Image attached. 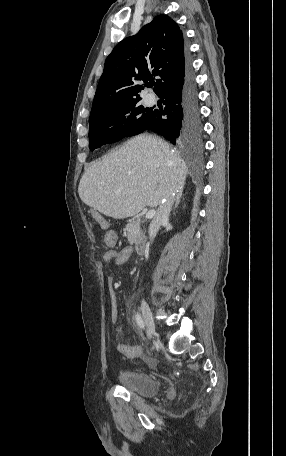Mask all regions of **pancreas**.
Instances as JSON below:
<instances>
[{
    "mask_svg": "<svg viewBox=\"0 0 286 456\" xmlns=\"http://www.w3.org/2000/svg\"><path fill=\"white\" fill-rule=\"evenodd\" d=\"M124 231L130 244H138L142 241L144 233L141 229L140 220L132 221L126 225Z\"/></svg>",
    "mask_w": 286,
    "mask_h": 456,
    "instance_id": "pancreas-1",
    "label": "pancreas"
}]
</instances>
